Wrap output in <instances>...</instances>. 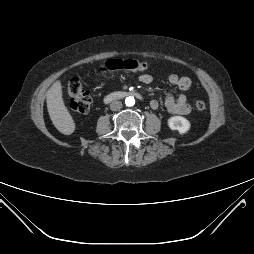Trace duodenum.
Returning a JSON list of instances; mask_svg holds the SVG:
<instances>
[{
  "label": "duodenum",
  "instance_id": "1",
  "mask_svg": "<svg viewBox=\"0 0 254 254\" xmlns=\"http://www.w3.org/2000/svg\"><path fill=\"white\" fill-rule=\"evenodd\" d=\"M128 96H135V97H138L140 98V94L137 93V92H131V91H116V92H113V93H110L108 94L106 97H105V102H111V101H114V100H119V99H123V98H126Z\"/></svg>",
  "mask_w": 254,
  "mask_h": 254
}]
</instances>
